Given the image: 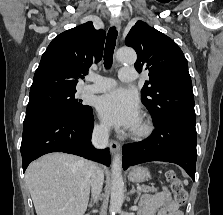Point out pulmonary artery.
I'll list each match as a JSON object with an SVG mask.
<instances>
[{"mask_svg": "<svg viewBox=\"0 0 223 215\" xmlns=\"http://www.w3.org/2000/svg\"><path fill=\"white\" fill-rule=\"evenodd\" d=\"M135 74H138V69H134L133 65H124L118 73V78L124 82H131L135 79ZM89 81L91 83L85 86L87 93L103 92L116 86V80L108 77L90 75Z\"/></svg>", "mask_w": 223, "mask_h": 215, "instance_id": "e3ab8cb5", "label": "pulmonary artery"}]
</instances>
